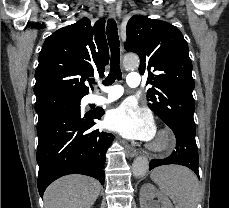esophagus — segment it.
<instances>
[{
  "instance_id": "34e87169",
  "label": "esophagus",
  "mask_w": 229,
  "mask_h": 208,
  "mask_svg": "<svg viewBox=\"0 0 229 208\" xmlns=\"http://www.w3.org/2000/svg\"><path fill=\"white\" fill-rule=\"evenodd\" d=\"M108 14L111 18H116V11L113 6L108 7ZM123 145L127 151L129 157L134 158L137 155V150L133 148L129 143L123 142Z\"/></svg>"
}]
</instances>
